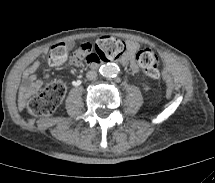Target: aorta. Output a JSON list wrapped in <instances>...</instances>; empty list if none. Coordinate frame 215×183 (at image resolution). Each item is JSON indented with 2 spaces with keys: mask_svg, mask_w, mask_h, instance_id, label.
<instances>
[{
  "mask_svg": "<svg viewBox=\"0 0 215 183\" xmlns=\"http://www.w3.org/2000/svg\"><path fill=\"white\" fill-rule=\"evenodd\" d=\"M99 72L106 78L114 77L119 73V68L116 64L108 63L100 67Z\"/></svg>",
  "mask_w": 215,
  "mask_h": 183,
  "instance_id": "obj_1",
  "label": "aorta"
}]
</instances>
